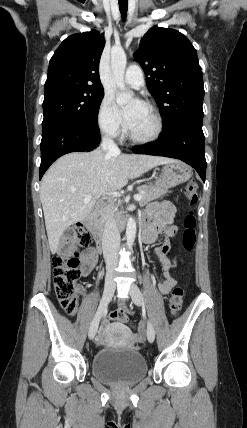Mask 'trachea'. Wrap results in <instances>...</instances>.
Masks as SVG:
<instances>
[{
	"instance_id": "3493384b",
	"label": "trachea",
	"mask_w": 247,
	"mask_h": 428,
	"mask_svg": "<svg viewBox=\"0 0 247 428\" xmlns=\"http://www.w3.org/2000/svg\"><path fill=\"white\" fill-rule=\"evenodd\" d=\"M119 9L122 16V20L125 21L127 17V10H128V3H120L119 2Z\"/></svg>"
}]
</instances>
